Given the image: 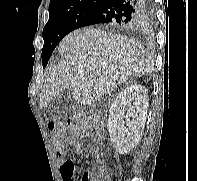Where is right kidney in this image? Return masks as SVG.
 <instances>
[{
    "instance_id": "ca27d5eb",
    "label": "right kidney",
    "mask_w": 197,
    "mask_h": 181,
    "mask_svg": "<svg viewBox=\"0 0 197 181\" xmlns=\"http://www.w3.org/2000/svg\"><path fill=\"white\" fill-rule=\"evenodd\" d=\"M147 108V90L141 84L127 86L112 103L108 130L110 140L120 154H127L139 143L145 127Z\"/></svg>"
}]
</instances>
